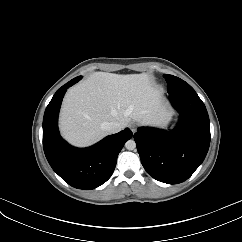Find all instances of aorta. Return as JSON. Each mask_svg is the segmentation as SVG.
<instances>
[{
	"instance_id": "1",
	"label": "aorta",
	"mask_w": 242,
	"mask_h": 242,
	"mask_svg": "<svg viewBox=\"0 0 242 242\" xmlns=\"http://www.w3.org/2000/svg\"><path fill=\"white\" fill-rule=\"evenodd\" d=\"M125 147L128 149V150H134L136 148V143L134 140L130 139L128 140L126 143H125Z\"/></svg>"
}]
</instances>
